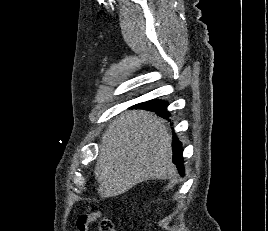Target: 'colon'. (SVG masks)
Instances as JSON below:
<instances>
[{
    "instance_id": "colon-1",
    "label": "colon",
    "mask_w": 268,
    "mask_h": 231,
    "mask_svg": "<svg viewBox=\"0 0 268 231\" xmlns=\"http://www.w3.org/2000/svg\"><path fill=\"white\" fill-rule=\"evenodd\" d=\"M97 231H117L116 226L109 216L98 214L96 216Z\"/></svg>"
}]
</instances>
